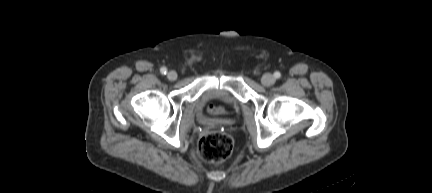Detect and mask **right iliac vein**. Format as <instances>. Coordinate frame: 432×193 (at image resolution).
<instances>
[{"instance_id": "obj_1", "label": "right iliac vein", "mask_w": 432, "mask_h": 193, "mask_svg": "<svg viewBox=\"0 0 432 193\" xmlns=\"http://www.w3.org/2000/svg\"><path fill=\"white\" fill-rule=\"evenodd\" d=\"M167 78H168L170 81H174V80L177 79V73H176L175 71H170V72H168V74H167Z\"/></svg>"}]
</instances>
